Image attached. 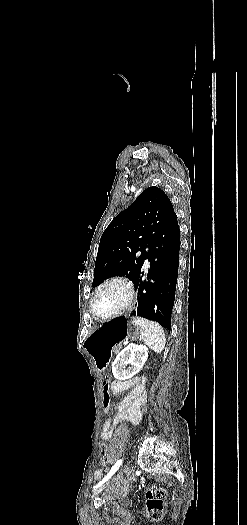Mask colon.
I'll use <instances>...</instances> for the list:
<instances>
[{
    "label": "colon",
    "instance_id": "1",
    "mask_svg": "<svg viewBox=\"0 0 247 525\" xmlns=\"http://www.w3.org/2000/svg\"><path fill=\"white\" fill-rule=\"evenodd\" d=\"M113 378L108 376L102 380L100 386L106 390L101 393L100 398L102 403L100 408L102 411L107 412L111 409V392L109 389L112 386ZM111 453L109 448L105 445L101 449V460L104 465L111 461ZM145 498L147 501L146 513L151 521H160L164 515V498L166 491L163 487L156 485L155 483H148L144 486Z\"/></svg>",
    "mask_w": 247,
    "mask_h": 525
}]
</instances>
